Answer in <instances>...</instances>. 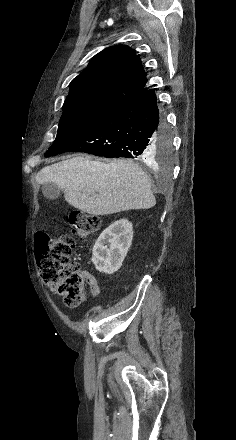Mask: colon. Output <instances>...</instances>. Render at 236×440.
<instances>
[{"mask_svg": "<svg viewBox=\"0 0 236 440\" xmlns=\"http://www.w3.org/2000/svg\"><path fill=\"white\" fill-rule=\"evenodd\" d=\"M71 234L50 238L44 232L35 233L38 266L44 284L57 295L67 307H77L86 300L85 275L70 257L75 248L74 236L87 238L100 228L97 216L81 211H71L66 216Z\"/></svg>", "mask_w": 236, "mask_h": 440, "instance_id": "1", "label": "colon"}]
</instances>
